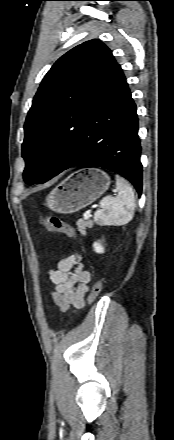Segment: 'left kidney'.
Instances as JSON below:
<instances>
[{"mask_svg": "<svg viewBox=\"0 0 174 440\" xmlns=\"http://www.w3.org/2000/svg\"><path fill=\"white\" fill-rule=\"evenodd\" d=\"M93 247H94V250H95L97 253H104V247L101 245V243H99V242H95V243L93 244Z\"/></svg>", "mask_w": 174, "mask_h": 440, "instance_id": "1", "label": "left kidney"}]
</instances>
